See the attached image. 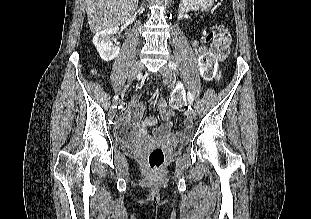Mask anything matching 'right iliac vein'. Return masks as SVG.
<instances>
[{"instance_id": "63e3f726", "label": "right iliac vein", "mask_w": 311, "mask_h": 219, "mask_svg": "<svg viewBox=\"0 0 311 219\" xmlns=\"http://www.w3.org/2000/svg\"><path fill=\"white\" fill-rule=\"evenodd\" d=\"M143 67H144L143 63L140 62V61H138V62H136L134 64V66L132 68V71L130 73L129 82H131L133 79H135L141 73V71L143 70ZM119 95H120L121 98L123 97V93L122 92H120ZM121 98L115 99L114 105L120 104Z\"/></svg>"}]
</instances>
